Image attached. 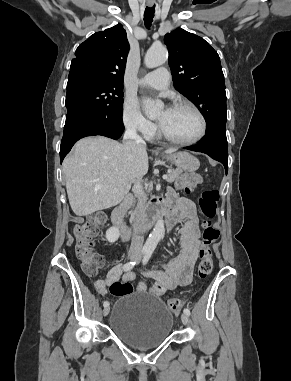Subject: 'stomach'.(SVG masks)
<instances>
[{
  "label": "stomach",
  "mask_w": 291,
  "mask_h": 381,
  "mask_svg": "<svg viewBox=\"0 0 291 381\" xmlns=\"http://www.w3.org/2000/svg\"><path fill=\"white\" fill-rule=\"evenodd\" d=\"M166 158L177 166L181 171L192 173L196 171L199 166V160L188 152H176L166 156Z\"/></svg>",
  "instance_id": "1"
}]
</instances>
